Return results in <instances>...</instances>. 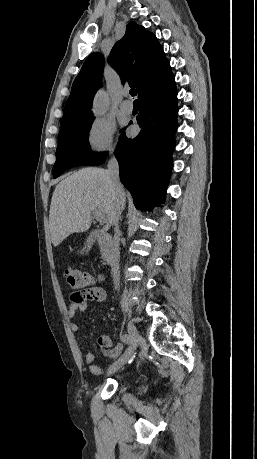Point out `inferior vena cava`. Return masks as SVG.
<instances>
[{
	"instance_id": "1",
	"label": "inferior vena cava",
	"mask_w": 257,
	"mask_h": 459,
	"mask_svg": "<svg viewBox=\"0 0 257 459\" xmlns=\"http://www.w3.org/2000/svg\"><path fill=\"white\" fill-rule=\"evenodd\" d=\"M108 179L115 193V206L113 212V224L115 225V234L110 247L109 255V264L111 266V276L115 285V289L119 288V260H120V251H119V240H120V230L118 222L120 215L125 205V197L123 193V188L120 183L119 178V165L116 158H111L108 162Z\"/></svg>"
}]
</instances>
